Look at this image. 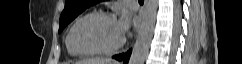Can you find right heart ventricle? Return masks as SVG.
Wrapping results in <instances>:
<instances>
[{
  "label": "right heart ventricle",
  "instance_id": "right-heart-ventricle-1",
  "mask_svg": "<svg viewBox=\"0 0 242 64\" xmlns=\"http://www.w3.org/2000/svg\"><path fill=\"white\" fill-rule=\"evenodd\" d=\"M68 36H69V34H68ZM68 36H67V38H66V47H67V50H68L69 54L72 55V56H79V54L76 53V52L72 49V47L70 46Z\"/></svg>",
  "mask_w": 242,
  "mask_h": 64
}]
</instances>
